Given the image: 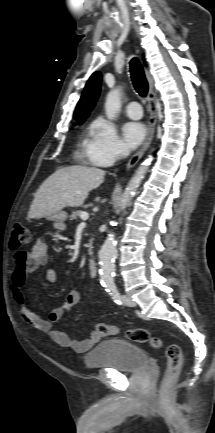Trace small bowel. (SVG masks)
Segmentation results:
<instances>
[{"instance_id":"obj_1","label":"small bowel","mask_w":215,"mask_h":433,"mask_svg":"<svg viewBox=\"0 0 215 433\" xmlns=\"http://www.w3.org/2000/svg\"><path fill=\"white\" fill-rule=\"evenodd\" d=\"M48 245L39 239L30 251L20 250L15 253L13 270L10 282L13 299L18 306L22 320L31 327L46 333L57 345L63 348H71L76 353H85L90 350L101 336L93 331L84 340L72 339L67 333L55 329L54 325L60 321L66 311L71 310L80 299L79 289H74L67 294L61 305L55 306L47 318L36 314L30 307L28 299L24 294V285L28 276L38 268L48 263ZM58 278V271L49 268L45 272V280L53 283Z\"/></svg>"}]
</instances>
